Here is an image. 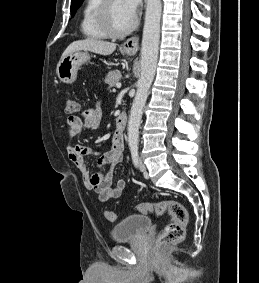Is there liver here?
Returning a JSON list of instances; mask_svg holds the SVG:
<instances>
[{"label":"liver","mask_w":259,"mask_h":283,"mask_svg":"<svg viewBox=\"0 0 259 283\" xmlns=\"http://www.w3.org/2000/svg\"><path fill=\"white\" fill-rule=\"evenodd\" d=\"M115 49H116L115 43L87 38L84 40H78L72 42L63 52L61 59L66 57L72 52L80 51V50L91 51L106 56L113 53Z\"/></svg>","instance_id":"liver-1"}]
</instances>
